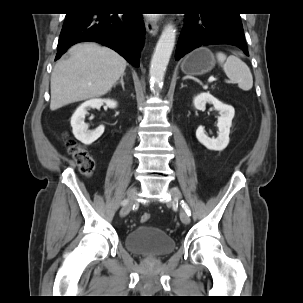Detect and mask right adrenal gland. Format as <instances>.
I'll use <instances>...</instances> for the list:
<instances>
[{
	"label": "right adrenal gland",
	"instance_id": "2a0ac1e0",
	"mask_svg": "<svg viewBox=\"0 0 303 303\" xmlns=\"http://www.w3.org/2000/svg\"><path fill=\"white\" fill-rule=\"evenodd\" d=\"M124 76H125V73L121 75L120 81L117 82V83H115L114 87H115L116 85H118V84H121L123 90H125V87H124V79H123Z\"/></svg>",
	"mask_w": 303,
	"mask_h": 303
}]
</instances>
